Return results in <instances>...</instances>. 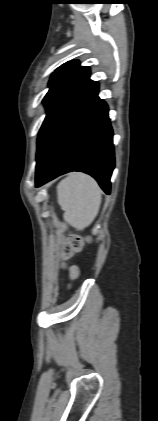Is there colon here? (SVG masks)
Returning <instances> with one entry per match:
<instances>
[{
	"label": "colon",
	"instance_id": "colon-1",
	"mask_svg": "<svg viewBox=\"0 0 158 421\" xmlns=\"http://www.w3.org/2000/svg\"><path fill=\"white\" fill-rule=\"evenodd\" d=\"M84 244V240L78 237H70L66 240L63 251L62 257L64 259L71 258ZM79 268L74 266L71 268V276L76 278L79 276Z\"/></svg>",
	"mask_w": 158,
	"mask_h": 421
}]
</instances>
